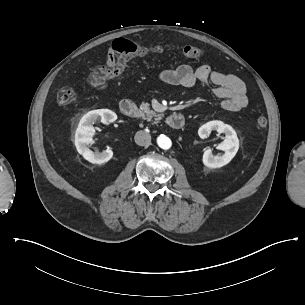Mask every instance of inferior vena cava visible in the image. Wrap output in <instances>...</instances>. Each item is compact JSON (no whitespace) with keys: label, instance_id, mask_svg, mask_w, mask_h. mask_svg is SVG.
Returning a JSON list of instances; mask_svg holds the SVG:
<instances>
[{"label":"inferior vena cava","instance_id":"602c4592","mask_svg":"<svg viewBox=\"0 0 305 305\" xmlns=\"http://www.w3.org/2000/svg\"><path fill=\"white\" fill-rule=\"evenodd\" d=\"M135 142L140 146L149 145L151 142V135L144 130H140L135 134Z\"/></svg>","mask_w":305,"mask_h":305}]
</instances>
